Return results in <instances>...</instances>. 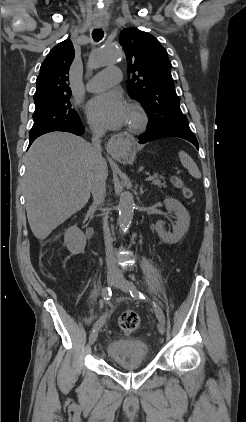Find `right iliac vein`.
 <instances>
[{
  "mask_svg": "<svg viewBox=\"0 0 246 422\" xmlns=\"http://www.w3.org/2000/svg\"><path fill=\"white\" fill-rule=\"evenodd\" d=\"M116 281H117V275L115 273H112V272L108 273V275H107L108 284L110 286H113L116 283ZM98 329L99 328H96L93 331V333L90 335V338H89L90 344H94L96 342L97 337H98Z\"/></svg>",
  "mask_w": 246,
  "mask_h": 422,
  "instance_id": "1",
  "label": "right iliac vein"
}]
</instances>
